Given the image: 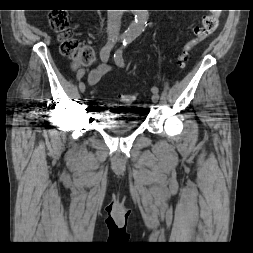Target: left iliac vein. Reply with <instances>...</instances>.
<instances>
[{
  "label": "left iliac vein",
  "instance_id": "4c4485c4",
  "mask_svg": "<svg viewBox=\"0 0 253 253\" xmlns=\"http://www.w3.org/2000/svg\"><path fill=\"white\" fill-rule=\"evenodd\" d=\"M151 98L153 103H157L159 101V95L157 93H153Z\"/></svg>",
  "mask_w": 253,
  "mask_h": 253
}]
</instances>
